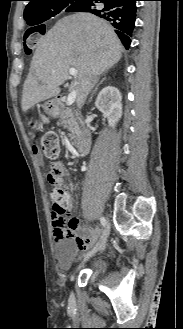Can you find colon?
<instances>
[{
    "label": "colon",
    "instance_id": "1",
    "mask_svg": "<svg viewBox=\"0 0 183 329\" xmlns=\"http://www.w3.org/2000/svg\"><path fill=\"white\" fill-rule=\"evenodd\" d=\"M44 32H50V25H27V31H22V37H20V44H23V49H42ZM40 145L47 158L55 159L58 156L59 141L56 133L52 131L43 133L40 137ZM61 177L62 172L55 168H51L47 175L49 182L53 185L50 194L53 215L57 216L63 224H66L71 197L66 186L59 182Z\"/></svg>",
    "mask_w": 183,
    "mask_h": 329
}]
</instances>
